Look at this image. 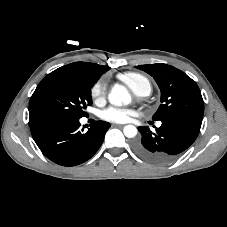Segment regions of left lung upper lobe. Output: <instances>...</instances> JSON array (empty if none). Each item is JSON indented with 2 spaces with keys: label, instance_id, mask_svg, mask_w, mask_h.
<instances>
[{
  "label": "left lung upper lobe",
  "instance_id": "left-lung-upper-lobe-1",
  "mask_svg": "<svg viewBox=\"0 0 227 227\" xmlns=\"http://www.w3.org/2000/svg\"><path fill=\"white\" fill-rule=\"evenodd\" d=\"M151 75L161 90L153 120L174 116L203 118L204 102L197 84L181 70L163 63L135 66Z\"/></svg>",
  "mask_w": 227,
  "mask_h": 227
}]
</instances>
